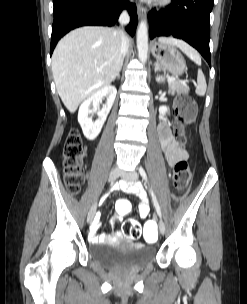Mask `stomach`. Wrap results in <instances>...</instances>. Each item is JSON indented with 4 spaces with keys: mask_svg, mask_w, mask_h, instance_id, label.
<instances>
[{
    "mask_svg": "<svg viewBox=\"0 0 247 304\" xmlns=\"http://www.w3.org/2000/svg\"><path fill=\"white\" fill-rule=\"evenodd\" d=\"M152 54L173 75H181L186 70L184 57L174 45L155 43L152 47Z\"/></svg>",
    "mask_w": 247,
    "mask_h": 304,
    "instance_id": "stomach-1",
    "label": "stomach"
}]
</instances>
